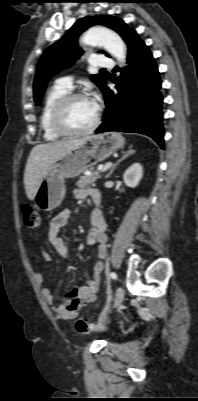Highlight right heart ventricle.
Returning a JSON list of instances; mask_svg holds the SVG:
<instances>
[{
  "instance_id": "e07e8e85",
  "label": "right heart ventricle",
  "mask_w": 198,
  "mask_h": 401,
  "mask_svg": "<svg viewBox=\"0 0 198 401\" xmlns=\"http://www.w3.org/2000/svg\"><path fill=\"white\" fill-rule=\"evenodd\" d=\"M66 94L68 90L59 86L52 87L46 94L40 115V128L45 140L55 141L62 137L52 126L51 116L56 103Z\"/></svg>"
}]
</instances>
